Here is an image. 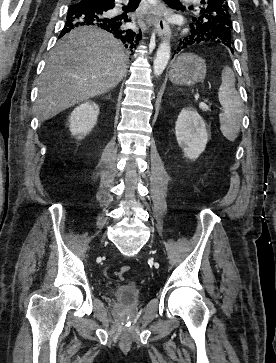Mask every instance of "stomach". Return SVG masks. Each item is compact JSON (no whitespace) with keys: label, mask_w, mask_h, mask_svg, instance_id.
I'll list each match as a JSON object with an SVG mask.
<instances>
[{"label":"stomach","mask_w":276,"mask_h":363,"mask_svg":"<svg viewBox=\"0 0 276 363\" xmlns=\"http://www.w3.org/2000/svg\"><path fill=\"white\" fill-rule=\"evenodd\" d=\"M206 76V63L201 57L184 53L173 62L169 78L173 84L192 86L200 83Z\"/></svg>","instance_id":"0dacf381"}]
</instances>
